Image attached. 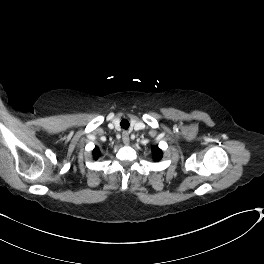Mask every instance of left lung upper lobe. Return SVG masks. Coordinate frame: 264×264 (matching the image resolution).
<instances>
[{"label": "left lung upper lobe", "instance_id": "obj_1", "mask_svg": "<svg viewBox=\"0 0 264 264\" xmlns=\"http://www.w3.org/2000/svg\"><path fill=\"white\" fill-rule=\"evenodd\" d=\"M152 152L154 154L153 158L155 161H159L162 158L163 153L158 147L153 146Z\"/></svg>", "mask_w": 264, "mask_h": 264}]
</instances>
